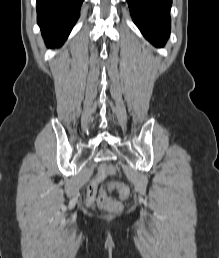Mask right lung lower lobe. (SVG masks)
<instances>
[{"instance_id": "right-lung-lower-lobe-1", "label": "right lung lower lobe", "mask_w": 219, "mask_h": 258, "mask_svg": "<svg viewBox=\"0 0 219 258\" xmlns=\"http://www.w3.org/2000/svg\"><path fill=\"white\" fill-rule=\"evenodd\" d=\"M83 0H37V22L47 45H62L80 15Z\"/></svg>"}]
</instances>
